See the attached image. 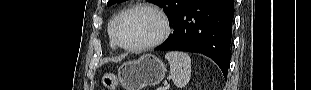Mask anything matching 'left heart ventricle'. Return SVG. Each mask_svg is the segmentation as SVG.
Listing matches in <instances>:
<instances>
[{"mask_svg": "<svg viewBox=\"0 0 311 90\" xmlns=\"http://www.w3.org/2000/svg\"><path fill=\"white\" fill-rule=\"evenodd\" d=\"M161 31L158 17L148 11L130 13L121 22L118 36L125 45H141L154 40Z\"/></svg>", "mask_w": 311, "mask_h": 90, "instance_id": "obj_1", "label": "left heart ventricle"}]
</instances>
